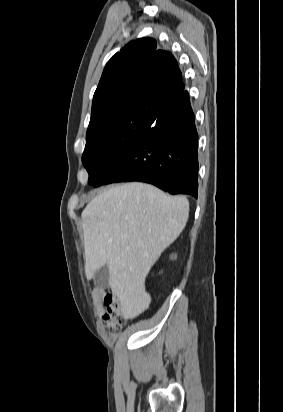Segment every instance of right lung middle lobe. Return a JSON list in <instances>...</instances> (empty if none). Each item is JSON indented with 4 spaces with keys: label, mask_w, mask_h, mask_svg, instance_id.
<instances>
[{
    "label": "right lung middle lobe",
    "mask_w": 283,
    "mask_h": 412,
    "mask_svg": "<svg viewBox=\"0 0 283 412\" xmlns=\"http://www.w3.org/2000/svg\"><path fill=\"white\" fill-rule=\"evenodd\" d=\"M163 108L133 105L90 124L82 162L88 183L99 179L154 122Z\"/></svg>",
    "instance_id": "1"
}]
</instances>
